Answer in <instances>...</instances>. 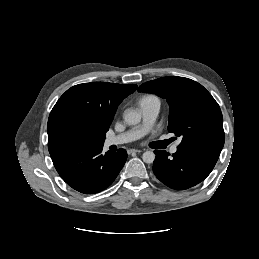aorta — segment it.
Listing matches in <instances>:
<instances>
[{"label": "aorta", "instance_id": "aorta-1", "mask_svg": "<svg viewBox=\"0 0 259 259\" xmlns=\"http://www.w3.org/2000/svg\"><path fill=\"white\" fill-rule=\"evenodd\" d=\"M124 121L128 125H137L141 121V114L133 109H128L124 113ZM142 159L145 163L151 164L155 160V154L153 151H146L142 155Z\"/></svg>", "mask_w": 259, "mask_h": 259}]
</instances>
